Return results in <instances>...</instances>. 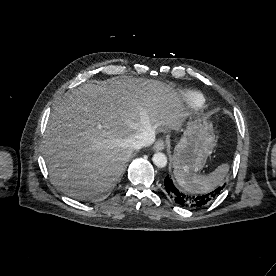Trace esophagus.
<instances>
[{
  "instance_id": "34e87169",
  "label": "esophagus",
  "mask_w": 276,
  "mask_h": 276,
  "mask_svg": "<svg viewBox=\"0 0 276 276\" xmlns=\"http://www.w3.org/2000/svg\"><path fill=\"white\" fill-rule=\"evenodd\" d=\"M165 146H166V144H165L164 140L163 139H158L156 141V143L154 144L153 148L156 151H162V150H164Z\"/></svg>"
}]
</instances>
